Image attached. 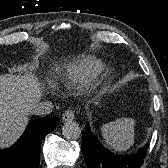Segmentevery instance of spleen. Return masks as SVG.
<instances>
[{"label":"spleen","instance_id":"obj_1","mask_svg":"<svg viewBox=\"0 0 168 168\" xmlns=\"http://www.w3.org/2000/svg\"><path fill=\"white\" fill-rule=\"evenodd\" d=\"M135 121L131 118L117 119L101 127L105 143L117 151H126L134 144Z\"/></svg>","mask_w":168,"mask_h":168}]
</instances>
